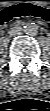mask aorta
<instances>
[{
	"label": "aorta",
	"instance_id": "1",
	"mask_svg": "<svg viewBox=\"0 0 50 111\" xmlns=\"http://www.w3.org/2000/svg\"><path fill=\"white\" fill-rule=\"evenodd\" d=\"M24 32L28 35H35L38 32V26L35 23H27L24 26Z\"/></svg>",
	"mask_w": 50,
	"mask_h": 111
}]
</instances>
